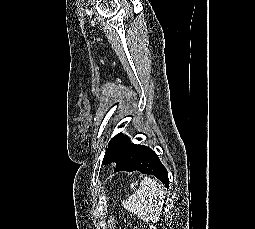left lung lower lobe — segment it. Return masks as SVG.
<instances>
[{
	"label": "left lung lower lobe",
	"instance_id": "0a47b994",
	"mask_svg": "<svg viewBox=\"0 0 255 229\" xmlns=\"http://www.w3.org/2000/svg\"><path fill=\"white\" fill-rule=\"evenodd\" d=\"M111 162H116L115 172L123 170L152 174L161 180L167 188L169 187L167 170L149 147L132 144L129 139V144L123 153L113 158Z\"/></svg>",
	"mask_w": 255,
	"mask_h": 229
}]
</instances>
